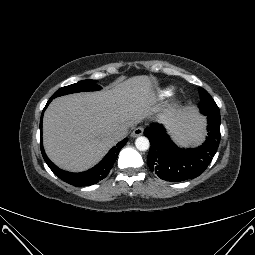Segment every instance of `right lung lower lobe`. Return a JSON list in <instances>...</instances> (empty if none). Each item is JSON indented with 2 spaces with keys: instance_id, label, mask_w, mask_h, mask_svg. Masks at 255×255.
Wrapping results in <instances>:
<instances>
[{
  "instance_id": "obj_1",
  "label": "right lung lower lobe",
  "mask_w": 255,
  "mask_h": 255,
  "mask_svg": "<svg viewBox=\"0 0 255 255\" xmlns=\"http://www.w3.org/2000/svg\"><path fill=\"white\" fill-rule=\"evenodd\" d=\"M52 99H50L44 110L46 109L47 105L51 102ZM42 118H43V113L41 115V120H40V139H41V152L43 155V158L49 168L63 181L69 183L70 185L73 186H90L93 184L98 183L102 179H104L108 173L110 172L111 168L113 167L117 156L119 154L120 149L126 144L127 138L122 140L117 144L116 147H113L109 153L104 157V159L97 164L95 167L92 169L82 172V173H70L63 171L59 169L55 164H53L47 155L45 154L44 148L42 146Z\"/></svg>"
}]
</instances>
